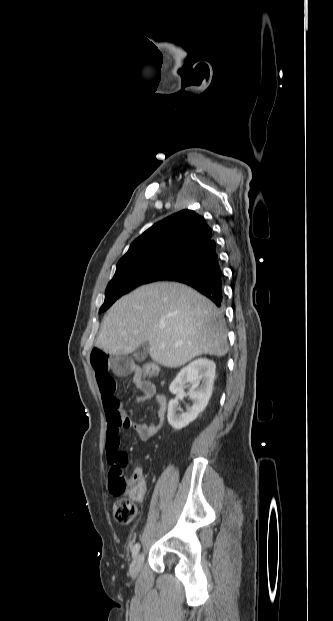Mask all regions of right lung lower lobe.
Listing matches in <instances>:
<instances>
[{
	"instance_id": "98d812e1",
	"label": "right lung lower lobe",
	"mask_w": 333,
	"mask_h": 621,
	"mask_svg": "<svg viewBox=\"0 0 333 621\" xmlns=\"http://www.w3.org/2000/svg\"><path fill=\"white\" fill-rule=\"evenodd\" d=\"M163 280L187 284L208 297L217 307H222L223 274L214 239L186 257Z\"/></svg>"
}]
</instances>
